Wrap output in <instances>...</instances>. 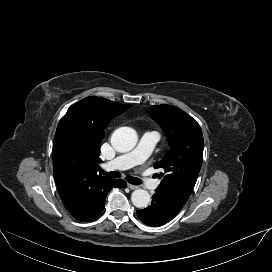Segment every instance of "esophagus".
<instances>
[{"mask_svg": "<svg viewBox=\"0 0 272 272\" xmlns=\"http://www.w3.org/2000/svg\"><path fill=\"white\" fill-rule=\"evenodd\" d=\"M127 186H128V188H130V189H132V190H135V189H138V188H139L138 186L133 185V184H130V183H128Z\"/></svg>", "mask_w": 272, "mask_h": 272, "instance_id": "esophagus-1", "label": "esophagus"}]
</instances>
